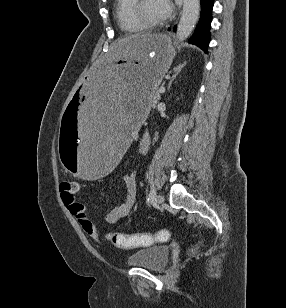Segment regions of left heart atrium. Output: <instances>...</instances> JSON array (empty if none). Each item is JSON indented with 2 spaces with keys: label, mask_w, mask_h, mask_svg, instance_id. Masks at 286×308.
I'll return each mask as SVG.
<instances>
[{
  "label": "left heart atrium",
  "mask_w": 286,
  "mask_h": 308,
  "mask_svg": "<svg viewBox=\"0 0 286 308\" xmlns=\"http://www.w3.org/2000/svg\"><path fill=\"white\" fill-rule=\"evenodd\" d=\"M162 4L163 14L166 17H168L171 13V4L169 0H160Z\"/></svg>",
  "instance_id": "left-heart-atrium-1"
}]
</instances>
